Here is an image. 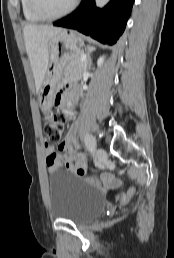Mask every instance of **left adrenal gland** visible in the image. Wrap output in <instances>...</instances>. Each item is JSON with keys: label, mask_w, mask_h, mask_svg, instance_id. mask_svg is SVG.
<instances>
[{"label": "left adrenal gland", "mask_w": 174, "mask_h": 258, "mask_svg": "<svg viewBox=\"0 0 174 258\" xmlns=\"http://www.w3.org/2000/svg\"><path fill=\"white\" fill-rule=\"evenodd\" d=\"M94 50H95V48H94V47H91V46H87V48H86L88 68H90V66H91V64H92L91 53H92V51H94Z\"/></svg>", "instance_id": "1"}]
</instances>
